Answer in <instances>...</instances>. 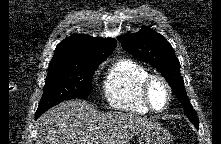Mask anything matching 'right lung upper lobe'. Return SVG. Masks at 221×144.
Segmentation results:
<instances>
[{
  "label": "right lung upper lobe",
  "instance_id": "1",
  "mask_svg": "<svg viewBox=\"0 0 221 144\" xmlns=\"http://www.w3.org/2000/svg\"><path fill=\"white\" fill-rule=\"evenodd\" d=\"M116 44L115 39L74 34L57 45L49 64L101 63Z\"/></svg>",
  "mask_w": 221,
  "mask_h": 144
}]
</instances>
